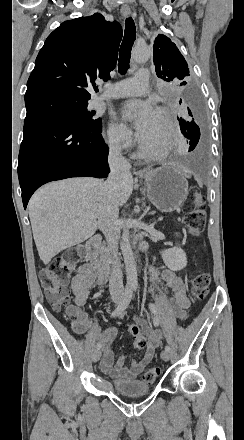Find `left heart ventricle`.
Masks as SVG:
<instances>
[{"label": "left heart ventricle", "mask_w": 244, "mask_h": 440, "mask_svg": "<svg viewBox=\"0 0 244 440\" xmlns=\"http://www.w3.org/2000/svg\"><path fill=\"white\" fill-rule=\"evenodd\" d=\"M167 126L168 123L165 114L154 112L150 124L146 130L143 131V135L151 145H154L165 136Z\"/></svg>", "instance_id": "left-heart-ventricle-1"}]
</instances>
